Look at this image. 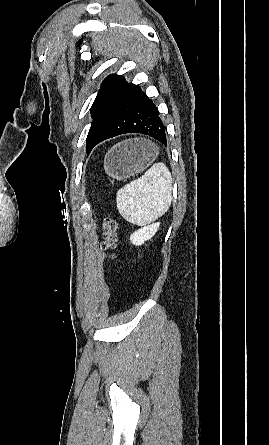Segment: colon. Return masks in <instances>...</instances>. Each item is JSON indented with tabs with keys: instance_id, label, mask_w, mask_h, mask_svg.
<instances>
[{
	"instance_id": "obj_1",
	"label": "colon",
	"mask_w": 269,
	"mask_h": 445,
	"mask_svg": "<svg viewBox=\"0 0 269 445\" xmlns=\"http://www.w3.org/2000/svg\"><path fill=\"white\" fill-rule=\"evenodd\" d=\"M103 242L101 248L108 261L115 258L114 250L118 240V223L114 218L106 217L102 223Z\"/></svg>"
}]
</instances>
